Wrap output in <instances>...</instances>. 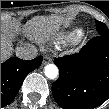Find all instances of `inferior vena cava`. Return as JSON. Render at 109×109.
Instances as JSON below:
<instances>
[{
    "instance_id": "602c4592",
    "label": "inferior vena cava",
    "mask_w": 109,
    "mask_h": 109,
    "mask_svg": "<svg viewBox=\"0 0 109 109\" xmlns=\"http://www.w3.org/2000/svg\"><path fill=\"white\" fill-rule=\"evenodd\" d=\"M16 56L21 59L31 60L37 57V49L28 44L16 48Z\"/></svg>"
}]
</instances>
